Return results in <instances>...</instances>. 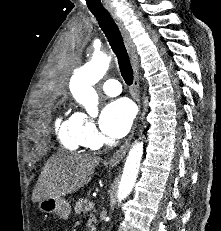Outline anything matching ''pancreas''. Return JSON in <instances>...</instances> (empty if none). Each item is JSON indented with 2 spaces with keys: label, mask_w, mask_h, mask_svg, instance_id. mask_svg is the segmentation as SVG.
<instances>
[{
  "label": "pancreas",
  "mask_w": 221,
  "mask_h": 231,
  "mask_svg": "<svg viewBox=\"0 0 221 231\" xmlns=\"http://www.w3.org/2000/svg\"><path fill=\"white\" fill-rule=\"evenodd\" d=\"M88 203H89V201L87 199H79L76 202L75 207H74L75 214L77 216L81 215V213L86 210ZM93 223H96V218H95L93 213H90L88 224H87L89 231H96V227H95V225H93Z\"/></svg>",
  "instance_id": "pancreas-1"
}]
</instances>
